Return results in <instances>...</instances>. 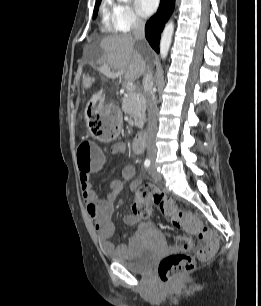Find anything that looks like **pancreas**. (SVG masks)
Returning <instances> with one entry per match:
<instances>
[{
	"label": "pancreas",
	"mask_w": 261,
	"mask_h": 306,
	"mask_svg": "<svg viewBox=\"0 0 261 306\" xmlns=\"http://www.w3.org/2000/svg\"><path fill=\"white\" fill-rule=\"evenodd\" d=\"M122 111L134 119V124L141 127L145 121L146 103L140 90H127L122 99Z\"/></svg>",
	"instance_id": "pancreas-1"
}]
</instances>
